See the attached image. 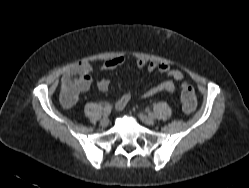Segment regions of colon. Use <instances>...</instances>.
Listing matches in <instances>:
<instances>
[{
    "mask_svg": "<svg viewBox=\"0 0 249 188\" xmlns=\"http://www.w3.org/2000/svg\"><path fill=\"white\" fill-rule=\"evenodd\" d=\"M180 101L182 108L186 113H191L196 109V97L193 87L185 82L182 84Z\"/></svg>",
    "mask_w": 249,
    "mask_h": 188,
    "instance_id": "colon-1",
    "label": "colon"
}]
</instances>
